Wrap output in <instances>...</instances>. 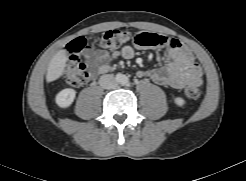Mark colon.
I'll use <instances>...</instances> for the list:
<instances>
[{"instance_id": "obj_1", "label": "colon", "mask_w": 246, "mask_h": 181, "mask_svg": "<svg viewBox=\"0 0 246 181\" xmlns=\"http://www.w3.org/2000/svg\"><path fill=\"white\" fill-rule=\"evenodd\" d=\"M132 43L141 48L168 47L173 39L153 32H130L127 30H109L105 32L98 44L102 48L115 49ZM86 48V39L83 36L75 38L68 47L69 57L65 67L67 82L75 87L83 86L90 80V72L79 57V53ZM185 96L196 100L201 96V89L196 85H189L185 89Z\"/></svg>"}]
</instances>
